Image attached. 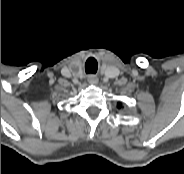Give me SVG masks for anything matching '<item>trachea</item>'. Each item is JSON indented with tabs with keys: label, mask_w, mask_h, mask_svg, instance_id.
<instances>
[{
	"label": "trachea",
	"mask_w": 184,
	"mask_h": 174,
	"mask_svg": "<svg viewBox=\"0 0 184 174\" xmlns=\"http://www.w3.org/2000/svg\"><path fill=\"white\" fill-rule=\"evenodd\" d=\"M86 73H96L97 63L93 59H88L85 64Z\"/></svg>",
	"instance_id": "trachea-1"
}]
</instances>
